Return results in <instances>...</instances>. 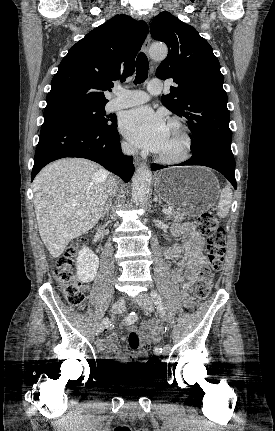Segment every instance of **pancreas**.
Here are the masks:
<instances>
[{"label":"pancreas","instance_id":"pancreas-1","mask_svg":"<svg viewBox=\"0 0 275 431\" xmlns=\"http://www.w3.org/2000/svg\"><path fill=\"white\" fill-rule=\"evenodd\" d=\"M169 219H173L175 222H182L185 218V215L180 212H172L171 214H167Z\"/></svg>","mask_w":275,"mask_h":431}]
</instances>
